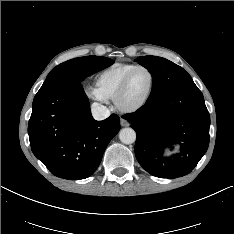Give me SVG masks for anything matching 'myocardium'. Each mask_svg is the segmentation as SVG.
<instances>
[{
  "mask_svg": "<svg viewBox=\"0 0 234 234\" xmlns=\"http://www.w3.org/2000/svg\"><path fill=\"white\" fill-rule=\"evenodd\" d=\"M141 69L148 71V73L150 74L151 83H150L149 90H148L146 96L139 103L132 105V106H125L123 104V98L128 90L130 80H131L133 74L136 71L141 70ZM155 81H156L155 74L149 67L143 66V65H137L136 67H134L125 76L124 80L122 81V83H121V85H120V87L115 95L114 104H115L116 108L120 112L125 113V114L134 113V112L140 110L141 108H143L147 104V102L149 101L150 97L152 96V93H153L154 87H155Z\"/></svg>",
  "mask_w": 234,
  "mask_h": 234,
  "instance_id": "1",
  "label": "myocardium"
}]
</instances>
